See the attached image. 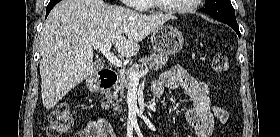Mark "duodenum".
Instances as JSON below:
<instances>
[{
	"label": "duodenum",
	"instance_id": "410a0bca",
	"mask_svg": "<svg viewBox=\"0 0 280 137\" xmlns=\"http://www.w3.org/2000/svg\"><path fill=\"white\" fill-rule=\"evenodd\" d=\"M118 80V74L116 71L109 70L105 72L96 82L95 90L96 92H101L111 89L116 85Z\"/></svg>",
	"mask_w": 280,
	"mask_h": 137
}]
</instances>
